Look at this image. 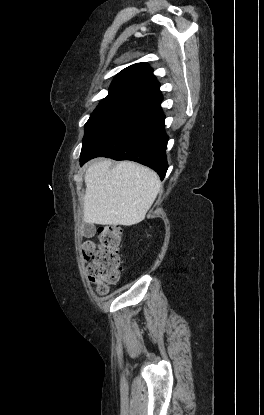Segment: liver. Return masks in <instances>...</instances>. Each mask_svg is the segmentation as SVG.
Here are the masks:
<instances>
[{
  "label": "liver",
  "mask_w": 264,
  "mask_h": 415,
  "mask_svg": "<svg viewBox=\"0 0 264 415\" xmlns=\"http://www.w3.org/2000/svg\"><path fill=\"white\" fill-rule=\"evenodd\" d=\"M83 221L131 226L144 220L161 187L157 173L132 161L91 163L84 177Z\"/></svg>",
  "instance_id": "1"
}]
</instances>
